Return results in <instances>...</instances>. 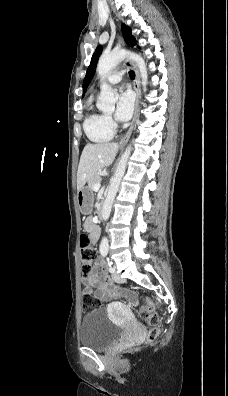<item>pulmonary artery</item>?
Wrapping results in <instances>:
<instances>
[{
	"mask_svg": "<svg viewBox=\"0 0 228 396\" xmlns=\"http://www.w3.org/2000/svg\"><path fill=\"white\" fill-rule=\"evenodd\" d=\"M123 74H124L123 71H116V72H113L112 74H110V75L106 78V81H107L109 84H116V83H119V82L121 81V79H122Z\"/></svg>",
	"mask_w": 228,
	"mask_h": 396,
	"instance_id": "obj_1",
	"label": "pulmonary artery"
}]
</instances>
